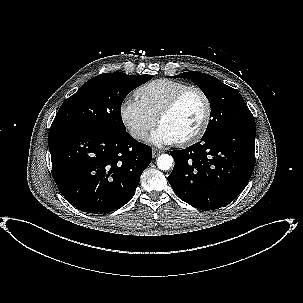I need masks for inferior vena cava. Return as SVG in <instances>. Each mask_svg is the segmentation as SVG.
I'll return each mask as SVG.
<instances>
[{
  "label": "inferior vena cava",
  "mask_w": 303,
  "mask_h": 303,
  "mask_svg": "<svg viewBox=\"0 0 303 303\" xmlns=\"http://www.w3.org/2000/svg\"><path fill=\"white\" fill-rule=\"evenodd\" d=\"M132 134H133L134 138H137V139H142L146 136V132L140 131V130H135Z\"/></svg>",
  "instance_id": "1"
}]
</instances>
